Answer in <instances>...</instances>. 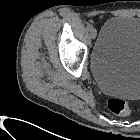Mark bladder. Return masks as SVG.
I'll list each match as a JSON object with an SVG mask.
<instances>
[{
	"instance_id": "bladder-1",
	"label": "bladder",
	"mask_w": 140,
	"mask_h": 140,
	"mask_svg": "<svg viewBox=\"0 0 140 140\" xmlns=\"http://www.w3.org/2000/svg\"><path fill=\"white\" fill-rule=\"evenodd\" d=\"M99 87L122 98H140V17L115 16L101 29L90 54Z\"/></svg>"
}]
</instances>
